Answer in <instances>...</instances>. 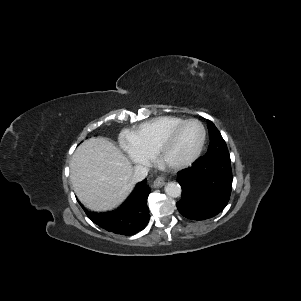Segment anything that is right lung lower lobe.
<instances>
[{"label": "right lung lower lobe", "mask_w": 301, "mask_h": 301, "mask_svg": "<svg viewBox=\"0 0 301 301\" xmlns=\"http://www.w3.org/2000/svg\"><path fill=\"white\" fill-rule=\"evenodd\" d=\"M149 193L145 179L136 185L126 201L114 211L97 213L81 206L89 219L99 227L115 234L131 236L142 231L150 220L146 202Z\"/></svg>", "instance_id": "98d812e1"}]
</instances>
